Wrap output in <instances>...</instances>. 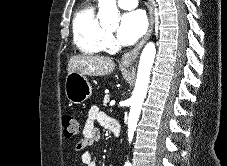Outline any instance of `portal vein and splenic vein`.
<instances>
[{
	"instance_id": "obj_1",
	"label": "portal vein and splenic vein",
	"mask_w": 227,
	"mask_h": 166,
	"mask_svg": "<svg viewBox=\"0 0 227 166\" xmlns=\"http://www.w3.org/2000/svg\"><path fill=\"white\" fill-rule=\"evenodd\" d=\"M114 104H115V102H114V101L110 102V105H111V106H113Z\"/></svg>"
}]
</instances>
